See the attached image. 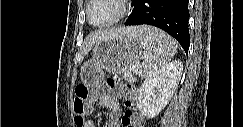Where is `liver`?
Instances as JSON below:
<instances>
[{"label":"liver","instance_id":"1","mask_svg":"<svg viewBox=\"0 0 243 127\" xmlns=\"http://www.w3.org/2000/svg\"><path fill=\"white\" fill-rule=\"evenodd\" d=\"M137 28H119L94 32L86 39L84 53L87 54L91 50V48L100 41L106 40L108 38H114L120 34H132Z\"/></svg>","mask_w":243,"mask_h":127}]
</instances>
